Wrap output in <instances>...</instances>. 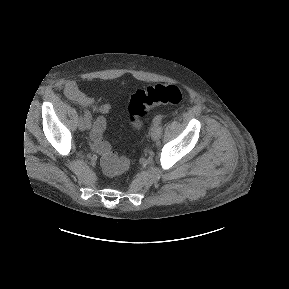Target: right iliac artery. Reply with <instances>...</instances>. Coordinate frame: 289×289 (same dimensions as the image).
I'll return each mask as SVG.
<instances>
[{
    "instance_id": "right-iliac-artery-1",
    "label": "right iliac artery",
    "mask_w": 289,
    "mask_h": 289,
    "mask_svg": "<svg viewBox=\"0 0 289 289\" xmlns=\"http://www.w3.org/2000/svg\"><path fill=\"white\" fill-rule=\"evenodd\" d=\"M84 118H86L87 120H91V114H90V112L89 111H84Z\"/></svg>"
}]
</instances>
